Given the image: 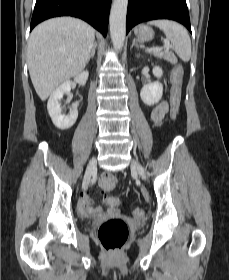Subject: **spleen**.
Instances as JSON below:
<instances>
[{
	"mask_svg": "<svg viewBox=\"0 0 229 280\" xmlns=\"http://www.w3.org/2000/svg\"><path fill=\"white\" fill-rule=\"evenodd\" d=\"M148 24L157 26L166 35V39L171 42L175 53L180 59L187 62L191 57V40L186 29L171 20L160 19L150 21Z\"/></svg>",
	"mask_w": 229,
	"mask_h": 280,
	"instance_id": "spleen-1",
	"label": "spleen"
}]
</instances>
